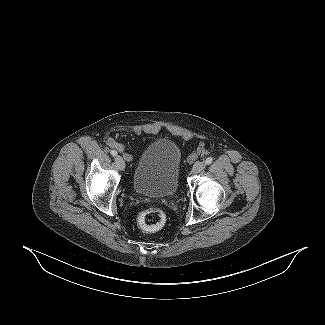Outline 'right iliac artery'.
I'll use <instances>...</instances> for the list:
<instances>
[{
	"mask_svg": "<svg viewBox=\"0 0 325 325\" xmlns=\"http://www.w3.org/2000/svg\"><path fill=\"white\" fill-rule=\"evenodd\" d=\"M110 153H111L112 156H116L117 155V152L115 150H111Z\"/></svg>",
	"mask_w": 325,
	"mask_h": 325,
	"instance_id": "1",
	"label": "right iliac artery"
}]
</instances>
